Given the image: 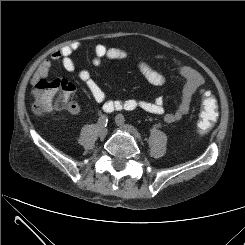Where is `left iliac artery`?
Masks as SVG:
<instances>
[{
	"mask_svg": "<svg viewBox=\"0 0 245 245\" xmlns=\"http://www.w3.org/2000/svg\"><path fill=\"white\" fill-rule=\"evenodd\" d=\"M118 116L120 117V119H122L123 121H125V118L122 114H118Z\"/></svg>",
	"mask_w": 245,
	"mask_h": 245,
	"instance_id": "obj_1",
	"label": "left iliac artery"
}]
</instances>
